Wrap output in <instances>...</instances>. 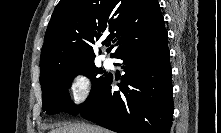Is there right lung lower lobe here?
<instances>
[{"instance_id":"obj_1","label":"right lung lower lobe","mask_w":221,"mask_h":133,"mask_svg":"<svg viewBox=\"0 0 221 133\" xmlns=\"http://www.w3.org/2000/svg\"><path fill=\"white\" fill-rule=\"evenodd\" d=\"M167 39L123 51L117 57L125 64L121 91L113 90L108 76L79 114L118 133H170L174 103Z\"/></svg>"}]
</instances>
